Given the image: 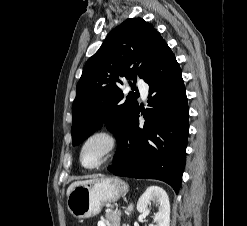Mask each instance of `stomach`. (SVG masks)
<instances>
[{
  "label": "stomach",
  "instance_id": "1",
  "mask_svg": "<svg viewBox=\"0 0 247 226\" xmlns=\"http://www.w3.org/2000/svg\"><path fill=\"white\" fill-rule=\"evenodd\" d=\"M127 185L116 177H99L76 185L68 195L67 207L76 218L98 215L105 204L117 201Z\"/></svg>",
  "mask_w": 247,
  "mask_h": 226
}]
</instances>
